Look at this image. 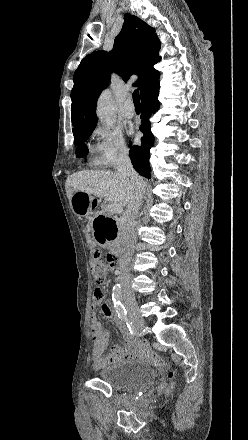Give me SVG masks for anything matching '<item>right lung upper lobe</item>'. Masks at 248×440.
Returning a JSON list of instances; mask_svg holds the SVG:
<instances>
[{
	"label": "right lung upper lobe",
	"mask_w": 248,
	"mask_h": 440,
	"mask_svg": "<svg viewBox=\"0 0 248 440\" xmlns=\"http://www.w3.org/2000/svg\"><path fill=\"white\" fill-rule=\"evenodd\" d=\"M110 53L95 51L87 55L74 73L71 91L73 135L94 130L97 124L96 101L108 85L111 72L126 80L136 74L141 98L159 88L160 73L153 67L160 61V41L155 30L129 13Z\"/></svg>",
	"instance_id": "right-lung-upper-lobe-1"
}]
</instances>
